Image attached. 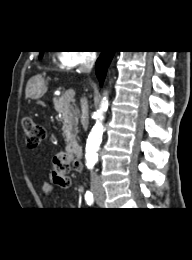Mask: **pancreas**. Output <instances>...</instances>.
Listing matches in <instances>:
<instances>
[{
	"instance_id": "pancreas-1",
	"label": "pancreas",
	"mask_w": 192,
	"mask_h": 260,
	"mask_svg": "<svg viewBox=\"0 0 192 260\" xmlns=\"http://www.w3.org/2000/svg\"><path fill=\"white\" fill-rule=\"evenodd\" d=\"M55 110L59 113L63 121V134L65 141L68 143L74 136L73 131H76L79 119V111L70 105L64 97L54 99Z\"/></svg>"
}]
</instances>
